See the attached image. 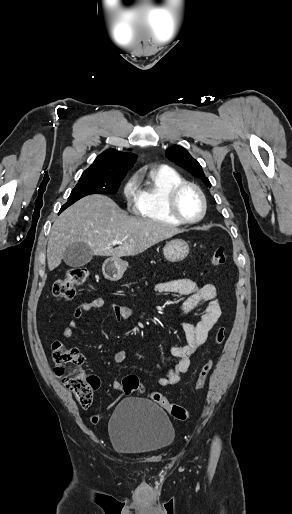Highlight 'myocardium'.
Wrapping results in <instances>:
<instances>
[{
	"label": "myocardium",
	"mask_w": 292,
	"mask_h": 514,
	"mask_svg": "<svg viewBox=\"0 0 292 514\" xmlns=\"http://www.w3.org/2000/svg\"><path fill=\"white\" fill-rule=\"evenodd\" d=\"M185 188L194 190L200 200V213L197 218L192 220L185 219L177 210V197ZM164 205L169 216L179 224H196L200 222L204 218L207 209L205 195L201 188L198 185L187 181H182L166 191L164 196Z\"/></svg>",
	"instance_id": "f54148a6"
}]
</instances>
